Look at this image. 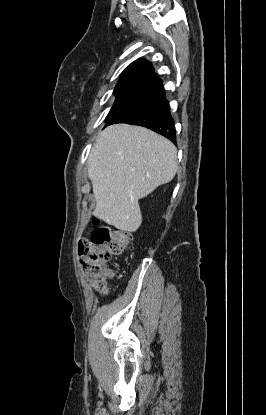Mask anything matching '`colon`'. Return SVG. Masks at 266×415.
<instances>
[{
    "label": "colon",
    "instance_id": "1",
    "mask_svg": "<svg viewBox=\"0 0 266 415\" xmlns=\"http://www.w3.org/2000/svg\"><path fill=\"white\" fill-rule=\"evenodd\" d=\"M94 229L89 239L79 242V255L84 275L94 288L105 294L108 291L106 277L109 275L107 263L111 257L123 253L132 236L123 230H113L94 221Z\"/></svg>",
    "mask_w": 266,
    "mask_h": 415
}]
</instances>
